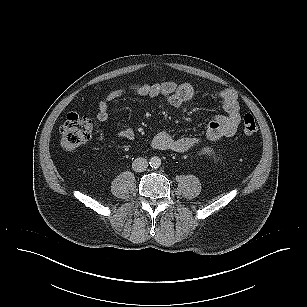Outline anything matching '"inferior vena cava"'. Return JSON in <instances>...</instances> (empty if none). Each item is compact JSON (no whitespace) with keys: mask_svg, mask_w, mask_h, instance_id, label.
Returning <instances> with one entry per match:
<instances>
[{"mask_svg":"<svg viewBox=\"0 0 307 307\" xmlns=\"http://www.w3.org/2000/svg\"><path fill=\"white\" fill-rule=\"evenodd\" d=\"M147 167H148L147 159L142 157L136 158L132 163V168L136 172H143L147 169Z\"/></svg>","mask_w":307,"mask_h":307,"instance_id":"obj_1","label":"inferior vena cava"}]
</instances>
